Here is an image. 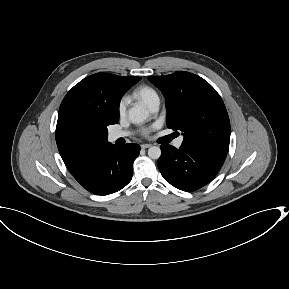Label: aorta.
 Returning a JSON list of instances; mask_svg holds the SVG:
<instances>
[{
  "label": "aorta",
  "instance_id": "aorta-1",
  "mask_svg": "<svg viewBox=\"0 0 289 289\" xmlns=\"http://www.w3.org/2000/svg\"><path fill=\"white\" fill-rule=\"evenodd\" d=\"M128 116H129V120L133 124H139V123L144 122L148 118L149 112L144 106L137 105V106L132 107L129 110ZM148 156L151 159H159V157L161 156V149L158 146L150 147L148 149Z\"/></svg>",
  "mask_w": 289,
  "mask_h": 289
}]
</instances>
